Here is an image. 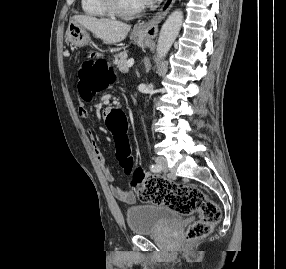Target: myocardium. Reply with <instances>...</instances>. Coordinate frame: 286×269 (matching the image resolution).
Masks as SVG:
<instances>
[{
	"label": "myocardium",
	"instance_id": "f54148a6",
	"mask_svg": "<svg viewBox=\"0 0 286 269\" xmlns=\"http://www.w3.org/2000/svg\"><path fill=\"white\" fill-rule=\"evenodd\" d=\"M102 7L105 11L111 15L118 18H131L141 14L144 10V6H141L137 9L126 11L123 10L117 0H100Z\"/></svg>",
	"mask_w": 286,
	"mask_h": 269
}]
</instances>
